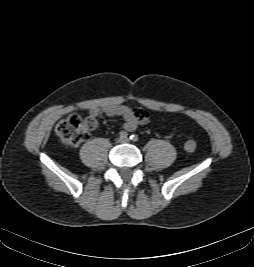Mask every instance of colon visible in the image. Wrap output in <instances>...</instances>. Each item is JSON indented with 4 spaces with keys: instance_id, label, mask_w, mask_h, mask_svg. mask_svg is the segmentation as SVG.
<instances>
[{
    "instance_id": "5ec220e1",
    "label": "colon",
    "mask_w": 254,
    "mask_h": 267,
    "mask_svg": "<svg viewBox=\"0 0 254 267\" xmlns=\"http://www.w3.org/2000/svg\"><path fill=\"white\" fill-rule=\"evenodd\" d=\"M97 125V120L92 117L83 118L77 114L70 115L56 125V134L69 145H78L88 139L89 133ZM197 143L188 139L184 143V149L192 153L196 150Z\"/></svg>"
}]
</instances>
